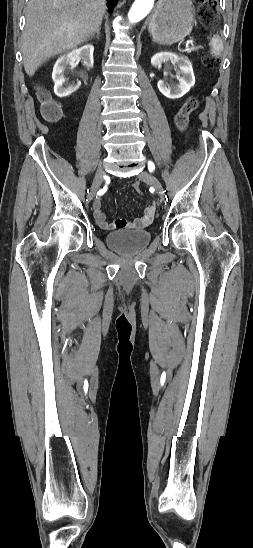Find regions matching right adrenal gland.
I'll return each instance as SVG.
<instances>
[{
  "instance_id": "1",
  "label": "right adrenal gland",
  "mask_w": 253,
  "mask_h": 548,
  "mask_svg": "<svg viewBox=\"0 0 253 548\" xmlns=\"http://www.w3.org/2000/svg\"><path fill=\"white\" fill-rule=\"evenodd\" d=\"M99 36H100V29L97 30V32L94 33L89 39H92V38L96 37L99 40Z\"/></svg>"
}]
</instances>
